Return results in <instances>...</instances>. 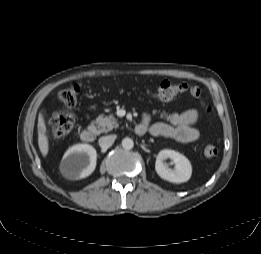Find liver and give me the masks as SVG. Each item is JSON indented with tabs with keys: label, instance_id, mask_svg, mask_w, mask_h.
Instances as JSON below:
<instances>
[{
	"label": "liver",
	"instance_id": "1",
	"mask_svg": "<svg viewBox=\"0 0 261 254\" xmlns=\"http://www.w3.org/2000/svg\"><path fill=\"white\" fill-rule=\"evenodd\" d=\"M45 133H46V125L44 122L43 115L40 114L38 117V145L44 157L48 154V150H49L48 138Z\"/></svg>",
	"mask_w": 261,
	"mask_h": 254
}]
</instances>
